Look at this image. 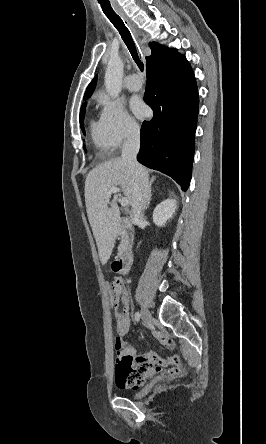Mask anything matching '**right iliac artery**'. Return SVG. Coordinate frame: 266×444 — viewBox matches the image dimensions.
<instances>
[{
  "label": "right iliac artery",
  "instance_id": "obj_1",
  "mask_svg": "<svg viewBox=\"0 0 266 444\" xmlns=\"http://www.w3.org/2000/svg\"><path fill=\"white\" fill-rule=\"evenodd\" d=\"M140 317H141L140 313H139V312H136V313H135V321H136V322H139V321H140Z\"/></svg>",
  "mask_w": 266,
  "mask_h": 444
}]
</instances>
